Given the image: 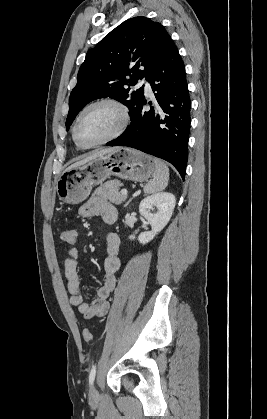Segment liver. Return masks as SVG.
<instances>
[{
	"mask_svg": "<svg viewBox=\"0 0 267 419\" xmlns=\"http://www.w3.org/2000/svg\"><path fill=\"white\" fill-rule=\"evenodd\" d=\"M116 150V148H105V149H98V150H94L93 152H91L88 156H86L84 159L74 163L73 165H71L68 169H71L73 167H77V166H81L84 165L85 163L94 160L98 157H101L109 152H112Z\"/></svg>",
	"mask_w": 267,
	"mask_h": 419,
	"instance_id": "6515ba94",
	"label": "liver"
}]
</instances>
